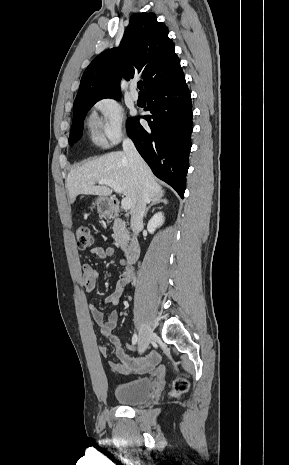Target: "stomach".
<instances>
[{"mask_svg": "<svg viewBox=\"0 0 289 465\" xmlns=\"http://www.w3.org/2000/svg\"><path fill=\"white\" fill-rule=\"evenodd\" d=\"M97 206L99 215H107L110 212V200L106 197H99L93 203Z\"/></svg>", "mask_w": 289, "mask_h": 465, "instance_id": "stomach-1", "label": "stomach"}]
</instances>
